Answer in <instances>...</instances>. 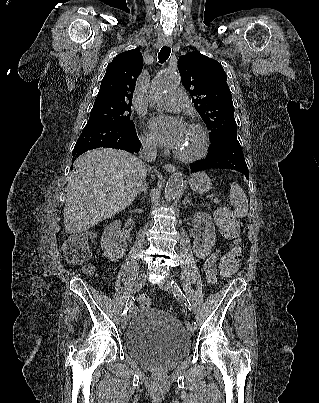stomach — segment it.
Listing matches in <instances>:
<instances>
[{
  "label": "stomach",
  "instance_id": "stomach-1",
  "mask_svg": "<svg viewBox=\"0 0 319 403\" xmlns=\"http://www.w3.org/2000/svg\"><path fill=\"white\" fill-rule=\"evenodd\" d=\"M189 185L192 191L199 194L208 192L212 187L209 176L204 172H198L190 176Z\"/></svg>",
  "mask_w": 319,
  "mask_h": 403
}]
</instances>
